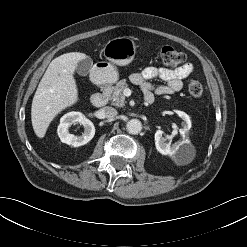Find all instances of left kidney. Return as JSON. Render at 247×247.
<instances>
[{"label":"left kidney","instance_id":"left-kidney-1","mask_svg":"<svg viewBox=\"0 0 247 247\" xmlns=\"http://www.w3.org/2000/svg\"><path fill=\"white\" fill-rule=\"evenodd\" d=\"M175 112L183 120V128L180 129L182 140L177 144L171 145L170 143L165 142L164 138L162 137L163 132L161 130H157L155 133V146L157 151L160 152L162 155L173 156L179 151V149L184 148L186 145H190V140H189V130L191 128L190 117L183 111L177 110Z\"/></svg>","mask_w":247,"mask_h":247}]
</instances>
